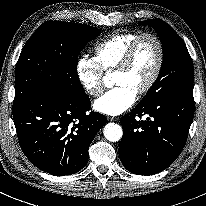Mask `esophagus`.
<instances>
[{
	"mask_svg": "<svg viewBox=\"0 0 206 206\" xmlns=\"http://www.w3.org/2000/svg\"><path fill=\"white\" fill-rule=\"evenodd\" d=\"M108 120H110V121H118L119 118H118V117L109 116V117H108Z\"/></svg>",
	"mask_w": 206,
	"mask_h": 206,
	"instance_id": "1",
	"label": "esophagus"
}]
</instances>
